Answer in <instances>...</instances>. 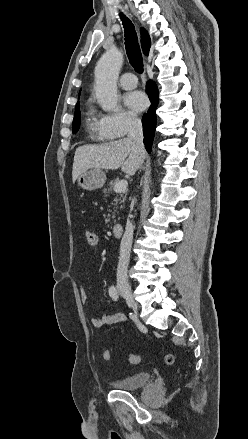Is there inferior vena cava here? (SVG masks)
<instances>
[{
    "mask_svg": "<svg viewBox=\"0 0 248 439\" xmlns=\"http://www.w3.org/2000/svg\"><path fill=\"white\" fill-rule=\"evenodd\" d=\"M128 123L129 129L127 138L133 142L135 149L140 153L142 165L145 158V150L143 145V130L141 120L136 117H130ZM133 230L134 228L132 223L128 221L120 244L119 262L117 266V282L118 284H123L127 287L129 286L127 270L133 240Z\"/></svg>",
    "mask_w": 248,
    "mask_h": 439,
    "instance_id": "602c4592",
    "label": "inferior vena cava"
}]
</instances>
